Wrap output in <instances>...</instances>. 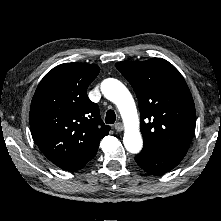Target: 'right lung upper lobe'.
<instances>
[{
    "label": "right lung upper lobe",
    "instance_id": "right-lung-upper-lobe-1",
    "mask_svg": "<svg viewBox=\"0 0 221 221\" xmlns=\"http://www.w3.org/2000/svg\"><path fill=\"white\" fill-rule=\"evenodd\" d=\"M99 71L97 65L61 64L46 74L33 96L29 114L33 140L64 170L97 152L100 140L110 130L100 119L98 105L86 93Z\"/></svg>",
    "mask_w": 221,
    "mask_h": 221
}]
</instances>
